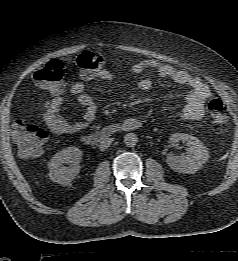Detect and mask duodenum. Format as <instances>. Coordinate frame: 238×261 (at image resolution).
I'll list each match as a JSON object with an SVG mask.
<instances>
[{
  "label": "duodenum",
  "instance_id": "1",
  "mask_svg": "<svg viewBox=\"0 0 238 261\" xmlns=\"http://www.w3.org/2000/svg\"><path fill=\"white\" fill-rule=\"evenodd\" d=\"M134 128H136L135 124L129 121H125L123 123L111 124L102 128L101 130L86 134L82 136L81 139L85 144L89 146H95L117 133L128 132Z\"/></svg>",
  "mask_w": 238,
  "mask_h": 261
}]
</instances>
